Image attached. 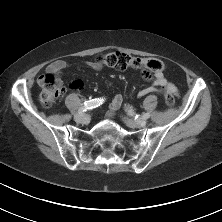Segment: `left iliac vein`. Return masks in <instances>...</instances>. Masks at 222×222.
Instances as JSON below:
<instances>
[{
  "label": "left iliac vein",
  "mask_w": 222,
  "mask_h": 222,
  "mask_svg": "<svg viewBox=\"0 0 222 222\" xmlns=\"http://www.w3.org/2000/svg\"><path fill=\"white\" fill-rule=\"evenodd\" d=\"M123 121L130 128H140V127H144L146 125L145 120L136 121V120L124 117Z\"/></svg>",
  "instance_id": "4c4485c4"
}]
</instances>
